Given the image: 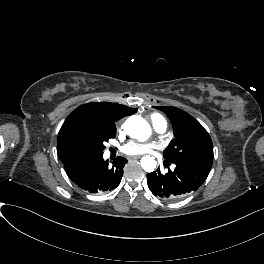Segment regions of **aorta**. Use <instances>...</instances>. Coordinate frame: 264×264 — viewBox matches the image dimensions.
I'll return each mask as SVG.
<instances>
[{"mask_svg":"<svg viewBox=\"0 0 264 264\" xmlns=\"http://www.w3.org/2000/svg\"><path fill=\"white\" fill-rule=\"evenodd\" d=\"M128 134L131 138L144 141L149 137L148 126L139 119H132L128 122ZM155 164V158L146 155L141 158V165L146 169H150Z\"/></svg>","mask_w":264,"mask_h":264,"instance_id":"aorta-1","label":"aorta"}]
</instances>
